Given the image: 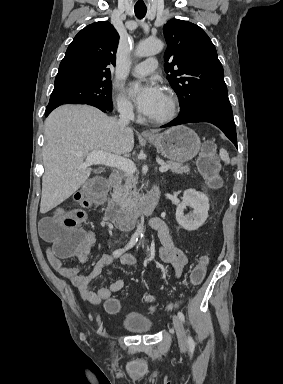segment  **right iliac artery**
<instances>
[{"instance_id":"1","label":"right iliac artery","mask_w":283,"mask_h":384,"mask_svg":"<svg viewBox=\"0 0 283 384\" xmlns=\"http://www.w3.org/2000/svg\"><path fill=\"white\" fill-rule=\"evenodd\" d=\"M138 240V236L134 235L132 236V238L130 239V241L128 242V244L124 247V248H120V249H117L113 252V256L115 258H118L119 256H121L125 251L131 249L137 242Z\"/></svg>"}]
</instances>
